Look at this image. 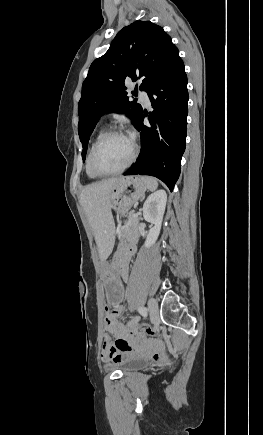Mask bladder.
Masks as SVG:
<instances>
[{"instance_id": "31cf9c89", "label": "bladder", "mask_w": 263, "mask_h": 435, "mask_svg": "<svg viewBox=\"0 0 263 435\" xmlns=\"http://www.w3.org/2000/svg\"><path fill=\"white\" fill-rule=\"evenodd\" d=\"M147 363V359L141 356L130 355L115 364L123 372L137 370Z\"/></svg>"}]
</instances>
